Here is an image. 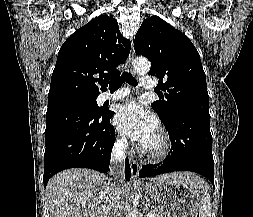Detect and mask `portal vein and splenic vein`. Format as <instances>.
I'll return each mask as SVG.
<instances>
[{
    "instance_id": "18ae733b",
    "label": "portal vein and splenic vein",
    "mask_w": 253,
    "mask_h": 217,
    "mask_svg": "<svg viewBox=\"0 0 253 217\" xmlns=\"http://www.w3.org/2000/svg\"><path fill=\"white\" fill-rule=\"evenodd\" d=\"M148 217H155V212L154 211H150L148 214Z\"/></svg>"
}]
</instances>
